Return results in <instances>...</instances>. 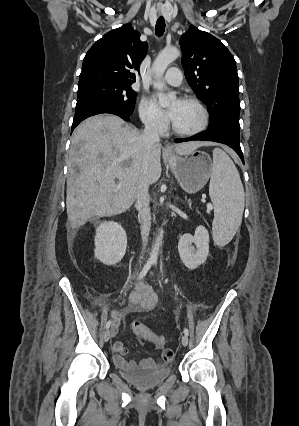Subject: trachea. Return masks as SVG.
<instances>
[{
  "instance_id": "1",
  "label": "trachea",
  "mask_w": 299,
  "mask_h": 426,
  "mask_svg": "<svg viewBox=\"0 0 299 426\" xmlns=\"http://www.w3.org/2000/svg\"><path fill=\"white\" fill-rule=\"evenodd\" d=\"M164 31H165V19L162 16H160L156 23L155 33L157 36L160 37L163 35Z\"/></svg>"
}]
</instances>
